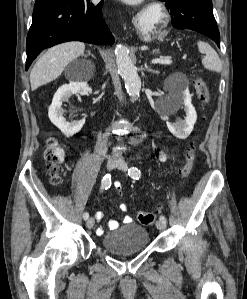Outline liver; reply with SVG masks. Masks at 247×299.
I'll return each instance as SVG.
<instances>
[{
	"label": "liver",
	"instance_id": "6515ba94",
	"mask_svg": "<svg viewBox=\"0 0 247 299\" xmlns=\"http://www.w3.org/2000/svg\"><path fill=\"white\" fill-rule=\"evenodd\" d=\"M85 44L71 41L56 45L43 54L30 73L31 90L57 79L65 67L74 59L83 55Z\"/></svg>",
	"mask_w": 247,
	"mask_h": 299
}]
</instances>
